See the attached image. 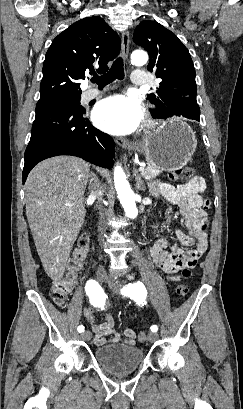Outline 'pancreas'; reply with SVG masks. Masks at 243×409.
Masks as SVG:
<instances>
[{
	"label": "pancreas",
	"mask_w": 243,
	"mask_h": 409,
	"mask_svg": "<svg viewBox=\"0 0 243 409\" xmlns=\"http://www.w3.org/2000/svg\"><path fill=\"white\" fill-rule=\"evenodd\" d=\"M161 173V170L148 166L145 168V171L142 173V176L145 180L150 181L151 179L157 177Z\"/></svg>",
	"instance_id": "pancreas-1"
}]
</instances>
